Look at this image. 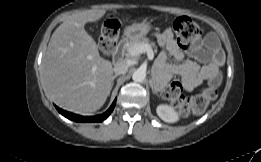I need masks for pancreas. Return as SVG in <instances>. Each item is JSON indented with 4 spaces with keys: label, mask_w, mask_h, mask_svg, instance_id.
<instances>
[{
    "label": "pancreas",
    "mask_w": 261,
    "mask_h": 162,
    "mask_svg": "<svg viewBox=\"0 0 261 162\" xmlns=\"http://www.w3.org/2000/svg\"><path fill=\"white\" fill-rule=\"evenodd\" d=\"M138 44H148V45H150L151 47H154V46H155V44H154L153 42H150L148 38H143V37H142V38L132 39V40L126 42V43L123 45V49L128 52V50H129L130 48H132L133 46L138 45Z\"/></svg>",
    "instance_id": "1"
}]
</instances>
